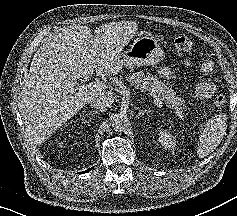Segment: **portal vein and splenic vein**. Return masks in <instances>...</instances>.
Returning <instances> with one entry per match:
<instances>
[{"mask_svg":"<svg viewBox=\"0 0 237 216\" xmlns=\"http://www.w3.org/2000/svg\"><path fill=\"white\" fill-rule=\"evenodd\" d=\"M79 87H81V88H86V83H80V84H79Z\"/></svg>","mask_w":237,"mask_h":216,"instance_id":"obj_1","label":"portal vein and splenic vein"}]
</instances>
